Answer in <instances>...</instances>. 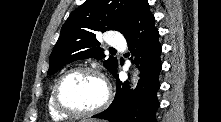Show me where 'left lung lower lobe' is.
I'll return each mask as SVG.
<instances>
[{
	"instance_id": "obj_1",
	"label": "left lung lower lobe",
	"mask_w": 221,
	"mask_h": 122,
	"mask_svg": "<svg viewBox=\"0 0 221 122\" xmlns=\"http://www.w3.org/2000/svg\"><path fill=\"white\" fill-rule=\"evenodd\" d=\"M154 20L147 0H138L124 37L128 41V49L136 55L140 64L139 83L136 91H131L117 77L114 101L105 111L94 115V118L110 122H157L155 113L159 102L156 94L160 88L159 73L162 64L159 33ZM116 75L117 71L114 76Z\"/></svg>"
}]
</instances>
